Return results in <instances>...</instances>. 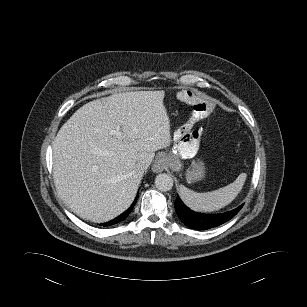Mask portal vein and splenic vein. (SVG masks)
Wrapping results in <instances>:
<instances>
[{
    "mask_svg": "<svg viewBox=\"0 0 307 307\" xmlns=\"http://www.w3.org/2000/svg\"><path fill=\"white\" fill-rule=\"evenodd\" d=\"M112 133L115 135H120V127H116L115 130H112Z\"/></svg>",
    "mask_w": 307,
    "mask_h": 307,
    "instance_id": "obj_1",
    "label": "portal vein and splenic vein"
}]
</instances>
